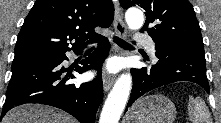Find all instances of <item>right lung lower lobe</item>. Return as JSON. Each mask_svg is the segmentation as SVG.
<instances>
[{"label": "right lung lower lobe", "mask_w": 221, "mask_h": 123, "mask_svg": "<svg viewBox=\"0 0 221 123\" xmlns=\"http://www.w3.org/2000/svg\"><path fill=\"white\" fill-rule=\"evenodd\" d=\"M95 42L100 43L98 48L81 62L84 66L76 69L78 73L89 69H101L110 44L105 37ZM65 59V54H61L56 59L45 58L12 66L3 111L25 103H40L60 108L81 123H95L97 109L103 100L101 73L99 72L93 81L80 86L69 84L67 81L74 76L65 74L66 70L60 67Z\"/></svg>", "instance_id": "1"}]
</instances>
